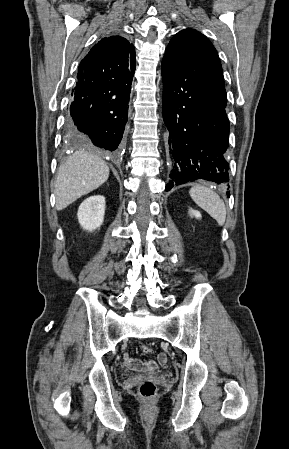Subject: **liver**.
Returning <instances> with one entry per match:
<instances>
[{
  "instance_id": "6515ba94",
  "label": "liver",
  "mask_w": 289,
  "mask_h": 449,
  "mask_svg": "<svg viewBox=\"0 0 289 449\" xmlns=\"http://www.w3.org/2000/svg\"><path fill=\"white\" fill-rule=\"evenodd\" d=\"M109 177L108 165L98 156L77 151L67 157L58 170L56 209L63 210L78 198L97 189Z\"/></svg>"
}]
</instances>
